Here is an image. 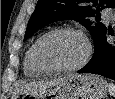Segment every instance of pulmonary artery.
<instances>
[{"label":"pulmonary artery","instance_id":"obj_1","mask_svg":"<svg viewBox=\"0 0 115 99\" xmlns=\"http://www.w3.org/2000/svg\"><path fill=\"white\" fill-rule=\"evenodd\" d=\"M103 17L108 21H111L113 19V16L109 10L103 11Z\"/></svg>","mask_w":115,"mask_h":99}]
</instances>
